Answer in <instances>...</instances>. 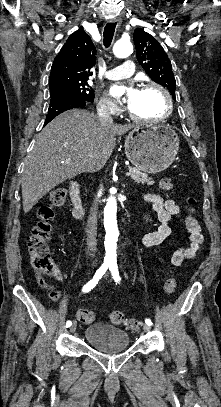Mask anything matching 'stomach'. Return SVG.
Listing matches in <instances>:
<instances>
[{"mask_svg": "<svg viewBox=\"0 0 221 407\" xmlns=\"http://www.w3.org/2000/svg\"><path fill=\"white\" fill-rule=\"evenodd\" d=\"M125 154L139 170L156 174L167 169L179 150V138L169 125L136 126L126 137Z\"/></svg>", "mask_w": 221, "mask_h": 407, "instance_id": "0dacf381", "label": "stomach"}]
</instances>
